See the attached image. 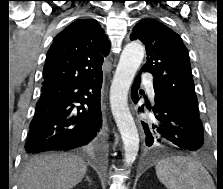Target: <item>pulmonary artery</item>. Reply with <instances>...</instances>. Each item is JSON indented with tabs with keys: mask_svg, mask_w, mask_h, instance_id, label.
Segmentation results:
<instances>
[{
	"mask_svg": "<svg viewBox=\"0 0 223 189\" xmlns=\"http://www.w3.org/2000/svg\"><path fill=\"white\" fill-rule=\"evenodd\" d=\"M143 78H144V80L149 81L151 77H150V75L145 74L143 76ZM147 89H148L149 95L153 98L154 97V89H153V85L150 81L147 84Z\"/></svg>",
	"mask_w": 223,
	"mask_h": 189,
	"instance_id": "e3ab8cb5",
	"label": "pulmonary artery"
}]
</instances>
